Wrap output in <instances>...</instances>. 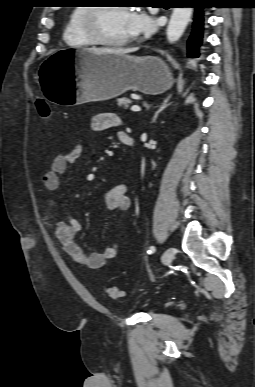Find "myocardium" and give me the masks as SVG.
Instances as JSON below:
<instances>
[{"label":"myocardium","instance_id":"obj_1","mask_svg":"<svg viewBox=\"0 0 255 387\" xmlns=\"http://www.w3.org/2000/svg\"><path fill=\"white\" fill-rule=\"evenodd\" d=\"M107 8L113 7L90 6L85 9L82 17V28L85 34L94 44L98 45L120 47L129 44L132 41V36L121 40H111L105 38L100 33L97 22L98 15ZM116 8H121L129 11L128 8H125L123 6H116Z\"/></svg>","mask_w":255,"mask_h":387}]
</instances>
